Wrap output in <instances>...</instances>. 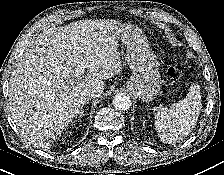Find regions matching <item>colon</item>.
I'll list each match as a JSON object with an SVG mask.
<instances>
[{
	"label": "colon",
	"mask_w": 224,
	"mask_h": 175,
	"mask_svg": "<svg viewBox=\"0 0 224 175\" xmlns=\"http://www.w3.org/2000/svg\"><path fill=\"white\" fill-rule=\"evenodd\" d=\"M167 75L171 79H178L181 76L180 70L176 66H171L167 70Z\"/></svg>",
	"instance_id": "obj_1"
}]
</instances>
